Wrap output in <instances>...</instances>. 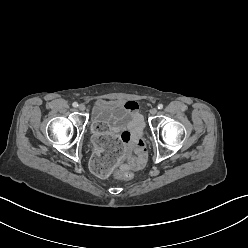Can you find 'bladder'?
Listing matches in <instances>:
<instances>
[{"label": "bladder", "instance_id": "obj_1", "mask_svg": "<svg viewBox=\"0 0 248 248\" xmlns=\"http://www.w3.org/2000/svg\"><path fill=\"white\" fill-rule=\"evenodd\" d=\"M133 113L125 103L116 100H97L92 107V131L95 125L104 123L114 130L125 127L132 119Z\"/></svg>", "mask_w": 248, "mask_h": 248}]
</instances>
